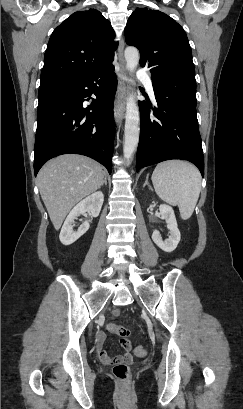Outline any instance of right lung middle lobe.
Listing matches in <instances>:
<instances>
[{
  "mask_svg": "<svg viewBox=\"0 0 243 409\" xmlns=\"http://www.w3.org/2000/svg\"><path fill=\"white\" fill-rule=\"evenodd\" d=\"M67 82H69V81L64 80V79H59V78H51V79L41 80L39 90L47 88V87H51V86H54V85L64 84V83H67Z\"/></svg>",
  "mask_w": 243,
  "mask_h": 409,
  "instance_id": "obj_1",
  "label": "right lung middle lobe"
}]
</instances>
